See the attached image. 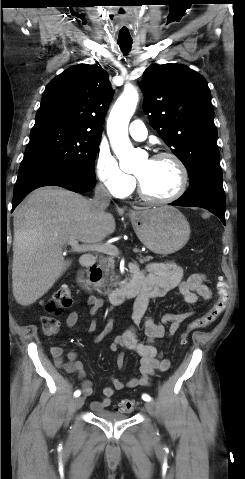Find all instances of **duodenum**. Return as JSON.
I'll return each instance as SVG.
<instances>
[{"mask_svg": "<svg viewBox=\"0 0 245 479\" xmlns=\"http://www.w3.org/2000/svg\"><path fill=\"white\" fill-rule=\"evenodd\" d=\"M82 265L84 269L89 270L91 273L99 271L96 267L94 255L91 253L85 254L82 259ZM130 272L131 278L127 282L106 293V298L109 302L117 305L125 300L137 298L140 295L143 289V281L137 271ZM99 279V274L91 277L92 282H96ZM78 283L86 290L91 289V286L87 285L81 276L78 279Z\"/></svg>", "mask_w": 245, "mask_h": 479, "instance_id": "1", "label": "duodenum"}]
</instances>
